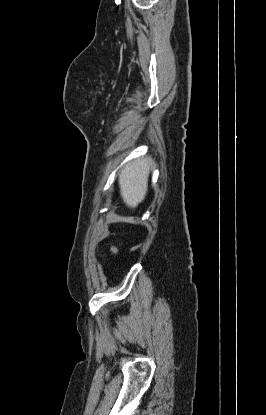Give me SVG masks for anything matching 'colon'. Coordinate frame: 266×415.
Instances as JSON below:
<instances>
[{
	"label": "colon",
	"mask_w": 266,
	"mask_h": 415,
	"mask_svg": "<svg viewBox=\"0 0 266 415\" xmlns=\"http://www.w3.org/2000/svg\"><path fill=\"white\" fill-rule=\"evenodd\" d=\"M112 251H113L114 253H116V252L118 251V249H117V248H113V249H112Z\"/></svg>",
	"instance_id": "colon-1"
}]
</instances>
